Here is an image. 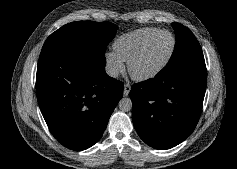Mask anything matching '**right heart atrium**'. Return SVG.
<instances>
[{
	"mask_svg": "<svg viewBox=\"0 0 237 169\" xmlns=\"http://www.w3.org/2000/svg\"><path fill=\"white\" fill-rule=\"evenodd\" d=\"M104 58L106 62V69L112 76H116L124 71V61L114 51H106Z\"/></svg>",
	"mask_w": 237,
	"mask_h": 169,
	"instance_id": "d8ad5b80",
	"label": "right heart atrium"
}]
</instances>
